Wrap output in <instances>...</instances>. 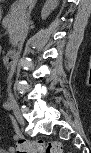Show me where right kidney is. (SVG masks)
Masks as SVG:
<instances>
[{
	"mask_svg": "<svg viewBox=\"0 0 91 153\" xmlns=\"http://www.w3.org/2000/svg\"><path fill=\"white\" fill-rule=\"evenodd\" d=\"M54 7H55L54 5L50 4L49 2H46V4L44 5L41 11L42 20H45L49 16V14L54 9Z\"/></svg>",
	"mask_w": 91,
	"mask_h": 153,
	"instance_id": "obj_1",
	"label": "right kidney"
}]
</instances>
